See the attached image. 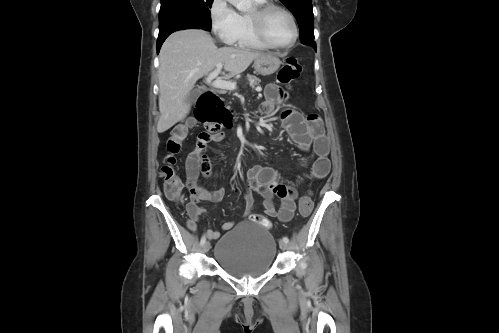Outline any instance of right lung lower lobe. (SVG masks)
<instances>
[{"label": "right lung lower lobe", "instance_id": "obj_1", "mask_svg": "<svg viewBox=\"0 0 499 333\" xmlns=\"http://www.w3.org/2000/svg\"><path fill=\"white\" fill-rule=\"evenodd\" d=\"M171 33L169 34H166V35H162V36H158V40H157V53H159V50H160V47L162 46L163 42L165 41V39L170 35Z\"/></svg>", "mask_w": 499, "mask_h": 333}]
</instances>
